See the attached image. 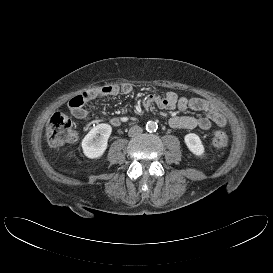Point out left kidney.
Here are the masks:
<instances>
[{"mask_svg":"<svg viewBox=\"0 0 273 273\" xmlns=\"http://www.w3.org/2000/svg\"><path fill=\"white\" fill-rule=\"evenodd\" d=\"M184 141L188 149L196 156H201L204 154V146L198 135L194 133L186 134Z\"/></svg>","mask_w":273,"mask_h":273,"instance_id":"left-kidney-1","label":"left kidney"}]
</instances>
